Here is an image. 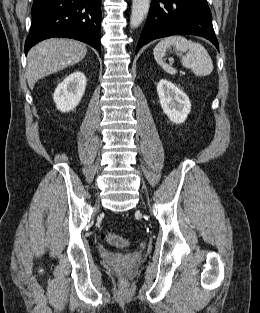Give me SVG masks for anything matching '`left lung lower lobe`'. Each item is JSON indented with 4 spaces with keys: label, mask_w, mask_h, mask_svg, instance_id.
Here are the masks:
<instances>
[{
    "label": "left lung lower lobe",
    "mask_w": 260,
    "mask_h": 313,
    "mask_svg": "<svg viewBox=\"0 0 260 313\" xmlns=\"http://www.w3.org/2000/svg\"><path fill=\"white\" fill-rule=\"evenodd\" d=\"M176 34L202 36L219 50L206 0H152L136 52L154 39Z\"/></svg>",
    "instance_id": "left-lung-lower-lobe-1"
}]
</instances>
